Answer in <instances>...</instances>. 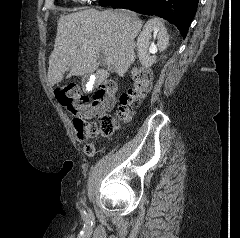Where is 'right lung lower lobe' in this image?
<instances>
[{
    "mask_svg": "<svg viewBox=\"0 0 240 238\" xmlns=\"http://www.w3.org/2000/svg\"><path fill=\"white\" fill-rule=\"evenodd\" d=\"M199 0H100L101 6L125 8L145 15H156L173 23L186 37Z\"/></svg>",
    "mask_w": 240,
    "mask_h": 238,
    "instance_id": "obj_1",
    "label": "right lung lower lobe"
}]
</instances>
